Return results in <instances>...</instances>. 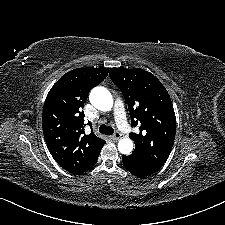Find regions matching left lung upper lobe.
<instances>
[{"mask_svg":"<svg viewBox=\"0 0 225 225\" xmlns=\"http://www.w3.org/2000/svg\"><path fill=\"white\" fill-rule=\"evenodd\" d=\"M109 76L123 93L132 126L141 123L139 134H129L135 142L131 155L163 166L176 134V117L167 90L153 74L138 68H111Z\"/></svg>","mask_w":225,"mask_h":225,"instance_id":"5c2ea615","label":"left lung upper lobe"}]
</instances>
